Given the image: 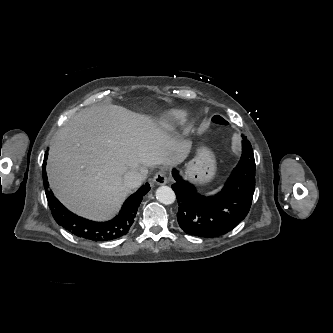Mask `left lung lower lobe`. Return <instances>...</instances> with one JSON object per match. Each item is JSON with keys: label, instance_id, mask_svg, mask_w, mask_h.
<instances>
[{"label": "left lung lower lobe", "instance_id": "obj_1", "mask_svg": "<svg viewBox=\"0 0 333 333\" xmlns=\"http://www.w3.org/2000/svg\"><path fill=\"white\" fill-rule=\"evenodd\" d=\"M242 156L222 190L204 196L173 169L172 185L177 202V220L189 235L212 238L224 235L248 214L255 190V159L251 143L243 136Z\"/></svg>", "mask_w": 333, "mask_h": 333}]
</instances>
